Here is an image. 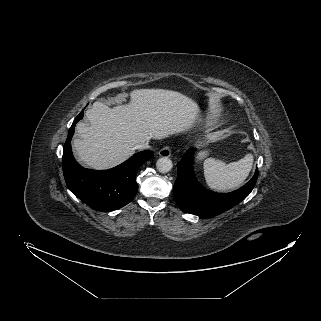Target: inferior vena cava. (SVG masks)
<instances>
[{
    "label": "inferior vena cava",
    "mask_w": 321,
    "mask_h": 321,
    "mask_svg": "<svg viewBox=\"0 0 321 321\" xmlns=\"http://www.w3.org/2000/svg\"><path fill=\"white\" fill-rule=\"evenodd\" d=\"M149 148H150V146H149L148 142H144V143L136 145V149H139V150H146Z\"/></svg>",
    "instance_id": "1"
}]
</instances>
